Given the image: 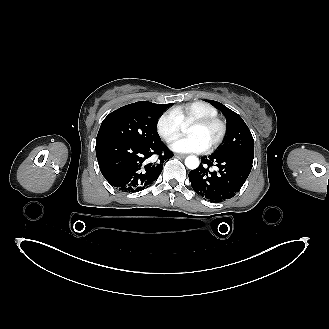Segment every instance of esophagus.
<instances>
[{"mask_svg": "<svg viewBox=\"0 0 329 329\" xmlns=\"http://www.w3.org/2000/svg\"><path fill=\"white\" fill-rule=\"evenodd\" d=\"M175 157H179V158H185L186 155L185 154H175Z\"/></svg>", "mask_w": 329, "mask_h": 329, "instance_id": "esophagus-1", "label": "esophagus"}]
</instances>
